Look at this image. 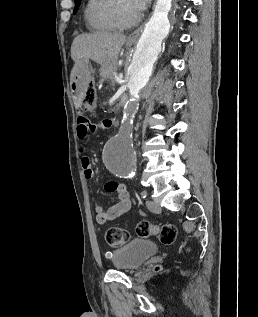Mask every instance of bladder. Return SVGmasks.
<instances>
[{
    "instance_id": "obj_1",
    "label": "bladder",
    "mask_w": 258,
    "mask_h": 317,
    "mask_svg": "<svg viewBox=\"0 0 258 317\" xmlns=\"http://www.w3.org/2000/svg\"><path fill=\"white\" fill-rule=\"evenodd\" d=\"M158 252L156 243L134 239L112 253V264L118 270H134Z\"/></svg>"
}]
</instances>
